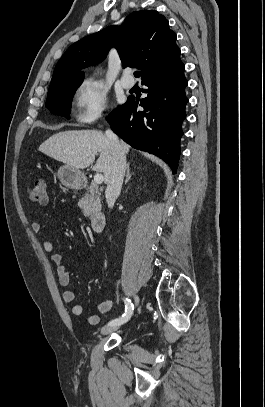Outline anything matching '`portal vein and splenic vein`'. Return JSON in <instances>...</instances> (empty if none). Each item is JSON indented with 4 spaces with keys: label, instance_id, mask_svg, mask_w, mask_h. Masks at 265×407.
<instances>
[{
    "label": "portal vein and splenic vein",
    "instance_id": "18ae733b",
    "mask_svg": "<svg viewBox=\"0 0 265 407\" xmlns=\"http://www.w3.org/2000/svg\"><path fill=\"white\" fill-rule=\"evenodd\" d=\"M103 180H104V177L100 173L95 174L94 179H93L95 184H101L103 182Z\"/></svg>",
    "mask_w": 265,
    "mask_h": 407
}]
</instances>
